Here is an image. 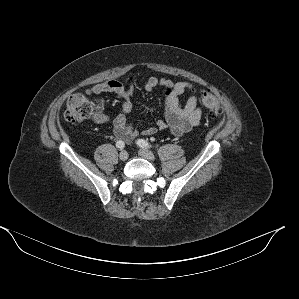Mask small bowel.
Wrapping results in <instances>:
<instances>
[{
	"mask_svg": "<svg viewBox=\"0 0 299 299\" xmlns=\"http://www.w3.org/2000/svg\"><path fill=\"white\" fill-rule=\"evenodd\" d=\"M135 78L130 75L125 81L109 80L96 84L86 90L87 95H100L112 93L123 99L122 113L113 120V131L116 138L125 143H131L139 134L130 120L134 111L132 91ZM145 90L153 91L157 87L165 90L164 116L154 125L143 128L140 132L144 135H153L158 131L168 130L175 136L190 132L198 126L202 118V108L198 103L196 94L191 95L185 106L179 104V96L188 91H195L196 86L190 81L174 82L166 78L150 77L145 82ZM99 123H106L109 118L105 114L97 117Z\"/></svg>",
	"mask_w": 299,
	"mask_h": 299,
	"instance_id": "c3829d8e",
	"label": "small bowel"
}]
</instances>
